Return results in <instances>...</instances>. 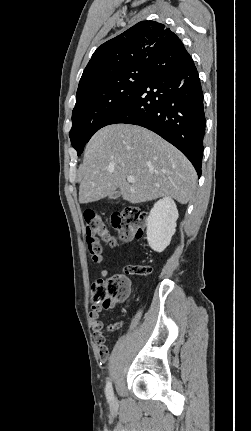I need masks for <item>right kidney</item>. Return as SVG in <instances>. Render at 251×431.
<instances>
[{
  "instance_id": "right-kidney-1",
  "label": "right kidney",
  "mask_w": 251,
  "mask_h": 431,
  "mask_svg": "<svg viewBox=\"0 0 251 431\" xmlns=\"http://www.w3.org/2000/svg\"><path fill=\"white\" fill-rule=\"evenodd\" d=\"M178 210L171 197L158 200L146 219L147 241L156 252H162L175 233Z\"/></svg>"
}]
</instances>
